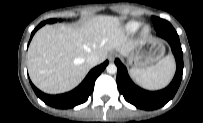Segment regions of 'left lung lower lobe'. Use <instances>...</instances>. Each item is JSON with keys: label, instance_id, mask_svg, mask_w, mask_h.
Wrapping results in <instances>:
<instances>
[{"label": "left lung lower lobe", "instance_id": "obj_1", "mask_svg": "<svg viewBox=\"0 0 203 123\" xmlns=\"http://www.w3.org/2000/svg\"><path fill=\"white\" fill-rule=\"evenodd\" d=\"M157 35L167 40L176 59V73L172 82L159 91H147L136 86L130 79L126 67L119 59L115 60L117 65V86L119 92L125 100L137 108L145 110H154L164 106L176 94L181 83L183 74V52L179 41V36L175 29L170 26L159 28Z\"/></svg>", "mask_w": 203, "mask_h": 123}]
</instances>
